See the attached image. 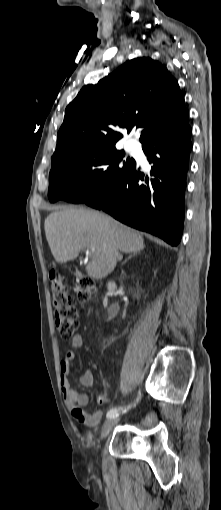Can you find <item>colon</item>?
Returning <instances> with one entry per match:
<instances>
[{
  "label": "colon",
  "mask_w": 221,
  "mask_h": 510,
  "mask_svg": "<svg viewBox=\"0 0 221 510\" xmlns=\"http://www.w3.org/2000/svg\"><path fill=\"white\" fill-rule=\"evenodd\" d=\"M72 272L77 299L81 304H86L96 291L95 282L77 268H73ZM49 279L57 330L63 339H70L74 336L79 325L75 301L66 285L64 276L58 268L52 267L50 269ZM97 401L103 403V395H99Z\"/></svg>",
  "instance_id": "colon-1"
}]
</instances>
